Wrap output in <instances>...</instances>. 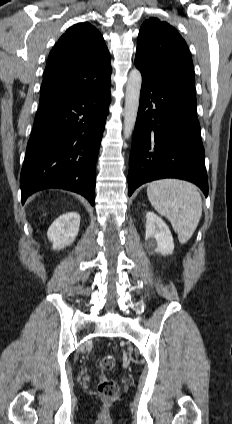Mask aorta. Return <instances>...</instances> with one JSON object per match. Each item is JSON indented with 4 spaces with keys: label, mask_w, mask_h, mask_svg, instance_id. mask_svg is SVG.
Segmentation results:
<instances>
[{
    "label": "aorta",
    "mask_w": 232,
    "mask_h": 424,
    "mask_svg": "<svg viewBox=\"0 0 232 424\" xmlns=\"http://www.w3.org/2000/svg\"><path fill=\"white\" fill-rule=\"evenodd\" d=\"M141 84L142 76L140 71L133 69L129 73L126 85L123 129L125 138H129L131 136L135 126L139 108Z\"/></svg>",
    "instance_id": "obj_1"
}]
</instances>
